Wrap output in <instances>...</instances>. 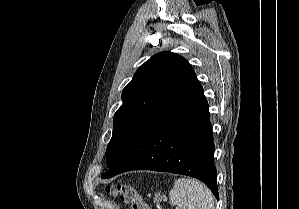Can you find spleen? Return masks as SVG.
<instances>
[{
    "label": "spleen",
    "mask_w": 299,
    "mask_h": 209,
    "mask_svg": "<svg viewBox=\"0 0 299 209\" xmlns=\"http://www.w3.org/2000/svg\"><path fill=\"white\" fill-rule=\"evenodd\" d=\"M169 200L176 209H215L214 197L209 188L189 178L175 180Z\"/></svg>",
    "instance_id": "3e777b00"
}]
</instances>
